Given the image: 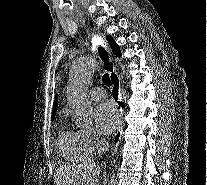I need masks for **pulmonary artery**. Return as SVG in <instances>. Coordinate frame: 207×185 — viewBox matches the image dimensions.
Wrapping results in <instances>:
<instances>
[{
    "mask_svg": "<svg viewBox=\"0 0 207 185\" xmlns=\"http://www.w3.org/2000/svg\"><path fill=\"white\" fill-rule=\"evenodd\" d=\"M107 93L105 89L96 87L90 90L89 96L92 100H102L106 97Z\"/></svg>",
    "mask_w": 207,
    "mask_h": 185,
    "instance_id": "obj_1",
    "label": "pulmonary artery"
}]
</instances>
